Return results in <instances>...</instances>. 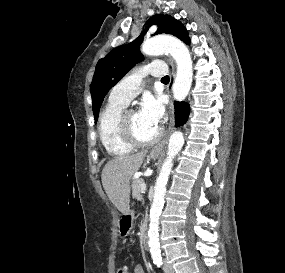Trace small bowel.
Returning a JSON list of instances; mask_svg holds the SVG:
<instances>
[{
  "instance_id": "obj_1",
  "label": "small bowel",
  "mask_w": 285,
  "mask_h": 273,
  "mask_svg": "<svg viewBox=\"0 0 285 273\" xmlns=\"http://www.w3.org/2000/svg\"><path fill=\"white\" fill-rule=\"evenodd\" d=\"M127 273H130V272L127 270ZM132 273H145L143 265L141 263H136L133 268Z\"/></svg>"
}]
</instances>
